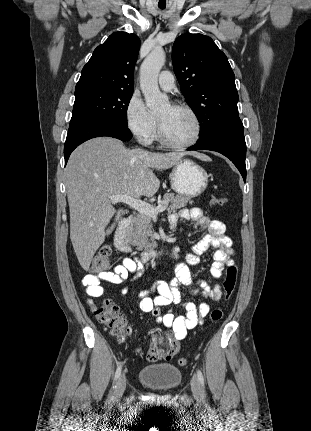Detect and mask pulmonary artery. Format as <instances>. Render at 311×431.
<instances>
[{
  "instance_id": "e3ab8cb5",
  "label": "pulmonary artery",
  "mask_w": 311,
  "mask_h": 431,
  "mask_svg": "<svg viewBox=\"0 0 311 431\" xmlns=\"http://www.w3.org/2000/svg\"><path fill=\"white\" fill-rule=\"evenodd\" d=\"M158 84L162 90L167 92L172 91L176 86L175 78L168 70L162 71L160 73L158 77Z\"/></svg>"
}]
</instances>
